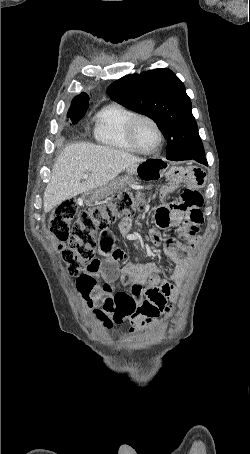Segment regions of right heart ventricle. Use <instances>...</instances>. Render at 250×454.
<instances>
[{
    "mask_svg": "<svg viewBox=\"0 0 250 454\" xmlns=\"http://www.w3.org/2000/svg\"><path fill=\"white\" fill-rule=\"evenodd\" d=\"M136 113L120 103H110L94 117L95 139L112 149L138 153L128 139V124Z\"/></svg>",
    "mask_w": 250,
    "mask_h": 454,
    "instance_id": "1",
    "label": "right heart ventricle"
}]
</instances>
